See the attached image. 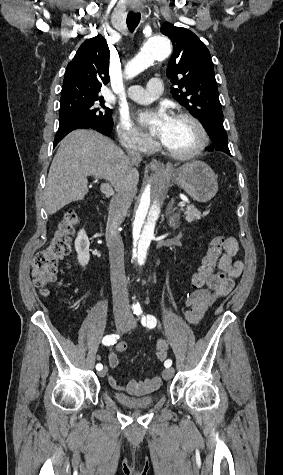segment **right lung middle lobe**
<instances>
[{"label":"right lung middle lobe","instance_id":"dd1d6c3e","mask_svg":"<svg viewBox=\"0 0 283 475\" xmlns=\"http://www.w3.org/2000/svg\"><path fill=\"white\" fill-rule=\"evenodd\" d=\"M98 94H61L59 118L84 117L94 123L113 126L112 110Z\"/></svg>","mask_w":283,"mask_h":475}]
</instances>
